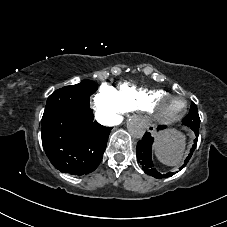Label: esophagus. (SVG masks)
I'll return each mask as SVG.
<instances>
[{
    "mask_svg": "<svg viewBox=\"0 0 227 227\" xmlns=\"http://www.w3.org/2000/svg\"><path fill=\"white\" fill-rule=\"evenodd\" d=\"M144 125L147 127V131L149 133H154L156 131V126L153 124V120L151 118H146L144 120Z\"/></svg>",
    "mask_w": 227,
    "mask_h": 227,
    "instance_id": "obj_1",
    "label": "esophagus"
}]
</instances>
